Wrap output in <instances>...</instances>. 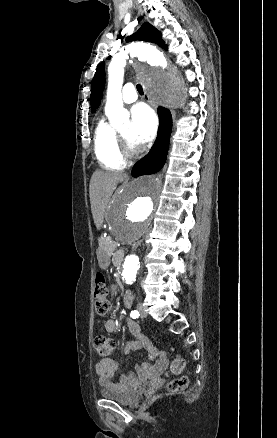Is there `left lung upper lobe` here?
Instances as JSON below:
<instances>
[{"label": "left lung upper lobe", "mask_w": 277, "mask_h": 438, "mask_svg": "<svg viewBox=\"0 0 277 438\" xmlns=\"http://www.w3.org/2000/svg\"><path fill=\"white\" fill-rule=\"evenodd\" d=\"M134 40L152 42L164 49L167 48L164 41L161 38L160 31H158L154 26H152L148 22L144 23L136 33L126 38L127 42ZM104 83H105L104 63H100L97 66L95 76L91 82V95H90L91 112H95L96 108H98L100 104Z\"/></svg>", "instance_id": "obj_1"}]
</instances>
